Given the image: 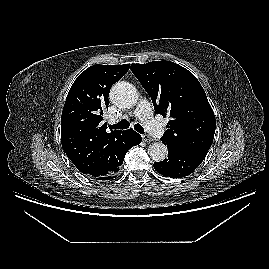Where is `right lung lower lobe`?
<instances>
[{"instance_id": "obj_1", "label": "right lung lower lobe", "mask_w": 269, "mask_h": 269, "mask_svg": "<svg viewBox=\"0 0 269 269\" xmlns=\"http://www.w3.org/2000/svg\"><path fill=\"white\" fill-rule=\"evenodd\" d=\"M141 143V136L137 132H135L133 129H129L123 132V137L122 141L120 142V147H119V158L117 162L114 163L112 166V171L103 176H98L94 177L96 179H101V180H109L115 177L116 173L119 170V167L123 164L124 156L127 153V151L135 146Z\"/></svg>"}]
</instances>
